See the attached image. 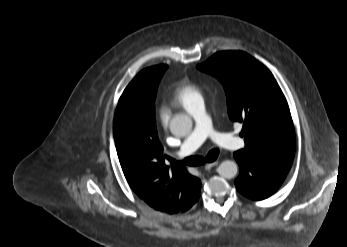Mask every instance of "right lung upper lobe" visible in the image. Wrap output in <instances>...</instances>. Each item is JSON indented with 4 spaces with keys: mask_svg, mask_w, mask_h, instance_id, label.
Wrapping results in <instances>:
<instances>
[{
    "mask_svg": "<svg viewBox=\"0 0 347 247\" xmlns=\"http://www.w3.org/2000/svg\"><path fill=\"white\" fill-rule=\"evenodd\" d=\"M114 139L123 173L133 191L156 210L174 214L200 195L201 182L185 167L165 165L155 108L145 84L135 77L119 99Z\"/></svg>",
    "mask_w": 347,
    "mask_h": 247,
    "instance_id": "right-lung-upper-lobe-1",
    "label": "right lung upper lobe"
}]
</instances>
